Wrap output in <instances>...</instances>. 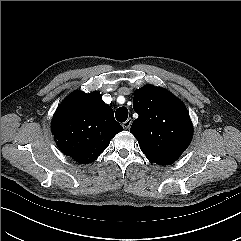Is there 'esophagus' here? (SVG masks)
<instances>
[{"instance_id": "34e87169", "label": "esophagus", "mask_w": 241, "mask_h": 241, "mask_svg": "<svg viewBox=\"0 0 241 241\" xmlns=\"http://www.w3.org/2000/svg\"><path fill=\"white\" fill-rule=\"evenodd\" d=\"M132 124V119L128 118L125 122L122 123L124 129H129Z\"/></svg>"}]
</instances>
